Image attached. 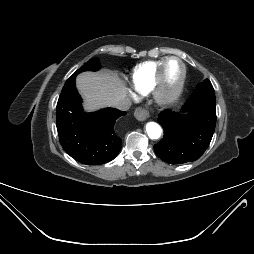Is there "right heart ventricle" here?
Segmentation results:
<instances>
[{
  "instance_id": "right-heart-ventricle-1",
  "label": "right heart ventricle",
  "mask_w": 254,
  "mask_h": 254,
  "mask_svg": "<svg viewBox=\"0 0 254 254\" xmlns=\"http://www.w3.org/2000/svg\"><path fill=\"white\" fill-rule=\"evenodd\" d=\"M165 59L147 61L137 65L131 75L133 88L141 94L151 91L157 71Z\"/></svg>"
}]
</instances>
